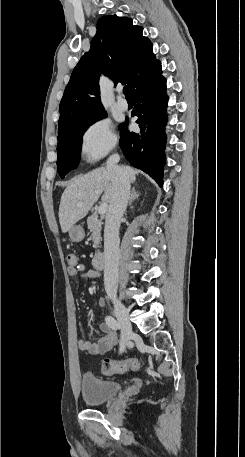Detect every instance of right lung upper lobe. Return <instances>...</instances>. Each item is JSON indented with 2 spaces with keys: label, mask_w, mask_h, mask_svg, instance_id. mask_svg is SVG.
<instances>
[{
  "label": "right lung upper lobe",
  "mask_w": 245,
  "mask_h": 457,
  "mask_svg": "<svg viewBox=\"0 0 245 457\" xmlns=\"http://www.w3.org/2000/svg\"><path fill=\"white\" fill-rule=\"evenodd\" d=\"M142 31L127 17L110 15L98 20L91 49L74 68L64 91L58 128L104 110L100 101L101 73L114 82H126L131 91L138 82L157 72L160 62Z\"/></svg>",
  "instance_id": "right-lung-upper-lobe-1"
}]
</instances>
